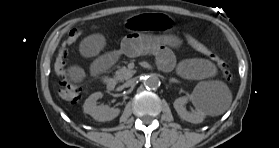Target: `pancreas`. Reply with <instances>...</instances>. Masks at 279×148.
I'll return each instance as SVG.
<instances>
[{
  "label": "pancreas",
  "instance_id": "cf45deb5",
  "mask_svg": "<svg viewBox=\"0 0 279 148\" xmlns=\"http://www.w3.org/2000/svg\"><path fill=\"white\" fill-rule=\"evenodd\" d=\"M116 79L119 81H124V80H128L129 78H131L134 74L135 71L128 69L127 67H121L116 71Z\"/></svg>",
  "mask_w": 279,
  "mask_h": 148
}]
</instances>
